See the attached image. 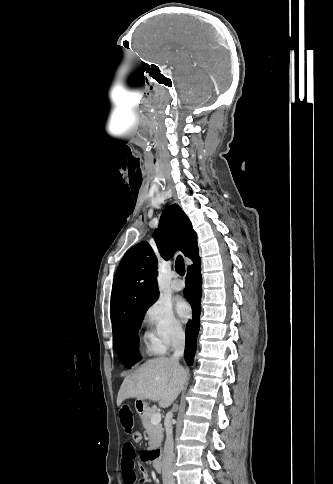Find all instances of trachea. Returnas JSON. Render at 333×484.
<instances>
[{
  "label": "trachea",
  "mask_w": 333,
  "mask_h": 484,
  "mask_svg": "<svg viewBox=\"0 0 333 484\" xmlns=\"http://www.w3.org/2000/svg\"><path fill=\"white\" fill-rule=\"evenodd\" d=\"M176 272L183 276L185 274V264L182 256H178L175 262Z\"/></svg>",
  "instance_id": "3493384b"
}]
</instances>
